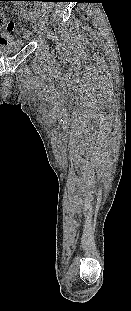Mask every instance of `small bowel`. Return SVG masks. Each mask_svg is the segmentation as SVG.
<instances>
[{"label":"small bowel","mask_w":131,"mask_h":311,"mask_svg":"<svg viewBox=\"0 0 131 311\" xmlns=\"http://www.w3.org/2000/svg\"><path fill=\"white\" fill-rule=\"evenodd\" d=\"M11 24L0 26V42H8L13 38Z\"/></svg>","instance_id":"obj_1"}]
</instances>
